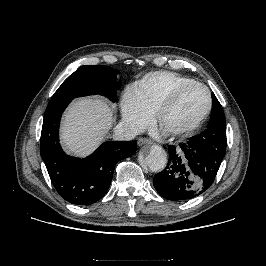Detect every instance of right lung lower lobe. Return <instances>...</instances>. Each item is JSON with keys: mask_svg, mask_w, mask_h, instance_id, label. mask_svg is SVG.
<instances>
[{"mask_svg": "<svg viewBox=\"0 0 266 266\" xmlns=\"http://www.w3.org/2000/svg\"><path fill=\"white\" fill-rule=\"evenodd\" d=\"M69 96H52L44 115L40 153L51 182L59 195L76 205H90L108 191L115 165L137 150L136 140L103 143L92 155L79 159L67 156L59 144L62 112Z\"/></svg>", "mask_w": 266, "mask_h": 266, "instance_id": "1", "label": "right lung lower lobe"}]
</instances>
